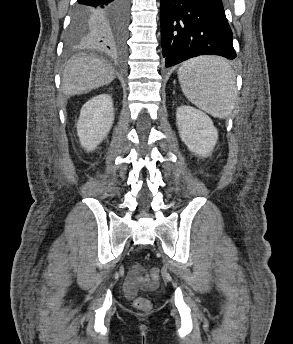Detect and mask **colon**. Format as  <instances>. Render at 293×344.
I'll return each instance as SVG.
<instances>
[{
    "label": "colon",
    "mask_w": 293,
    "mask_h": 344,
    "mask_svg": "<svg viewBox=\"0 0 293 344\" xmlns=\"http://www.w3.org/2000/svg\"><path fill=\"white\" fill-rule=\"evenodd\" d=\"M131 277L136 280L139 278V269L138 267H134L132 273L130 274ZM159 277V272L157 269H152L150 274H149V278L151 281L156 282L158 280ZM134 307L138 310L141 311H148L151 308V303L150 301L144 297V296H138L135 300H134Z\"/></svg>",
    "instance_id": "obj_1"
}]
</instances>
